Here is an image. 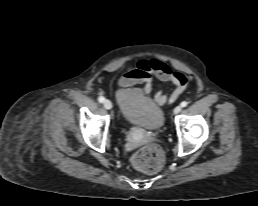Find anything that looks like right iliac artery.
<instances>
[{"instance_id": "right-iliac-artery-1", "label": "right iliac artery", "mask_w": 258, "mask_h": 206, "mask_svg": "<svg viewBox=\"0 0 258 206\" xmlns=\"http://www.w3.org/2000/svg\"><path fill=\"white\" fill-rule=\"evenodd\" d=\"M98 101H99L100 103H103V102L105 101V98L102 97V96H100V97L98 98Z\"/></svg>"}]
</instances>
